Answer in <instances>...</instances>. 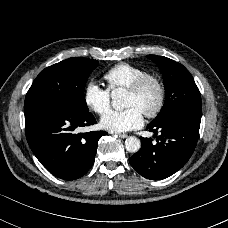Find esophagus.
Segmentation results:
<instances>
[{
	"label": "esophagus",
	"mask_w": 228,
	"mask_h": 228,
	"mask_svg": "<svg viewBox=\"0 0 228 228\" xmlns=\"http://www.w3.org/2000/svg\"><path fill=\"white\" fill-rule=\"evenodd\" d=\"M117 136H118L119 138H121V139H125V138L128 137V135H127V134H124V133H119V134H117Z\"/></svg>",
	"instance_id": "esophagus-1"
}]
</instances>
